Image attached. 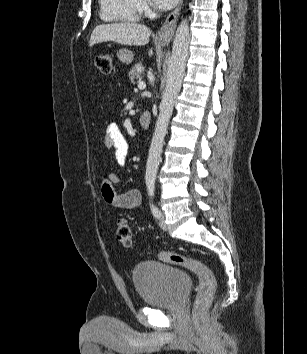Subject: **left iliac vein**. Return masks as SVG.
Masks as SVG:
<instances>
[{"instance_id": "obj_1", "label": "left iliac vein", "mask_w": 307, "mask_h": 354, "mask_svg": "<svg viewBox=\"0 0 307 354\" xmlns=\"http://www.w3.org/2000/svg\"><path fill=\"white\" fill-rule=\"evenodd\" d=\"M159 226L163 229V230H167V225L165 223V220H164V216L163 214L161 213L160 217H159Z\"/></svg>"}]
</instances>
